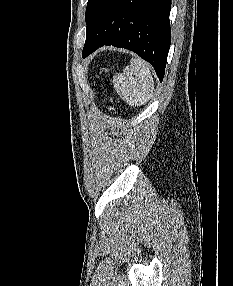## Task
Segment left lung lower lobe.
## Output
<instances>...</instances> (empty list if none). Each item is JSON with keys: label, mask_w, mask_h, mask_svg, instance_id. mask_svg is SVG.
I'll return each instance as SVG.
<instances>
[{"label": "left lung lower lobe", "mask_w": 233, "mask_h": 286, "mask_svg": "<svg viewBox=\"0 0 233 286\" xmlns=\"http://www.w3.org/2000/svg\"><path fill=\"white\" fill-rule=\"evenodd\" d=\"M171 0H94L86 19L85 58L103 45L126 48L163 80L171 43Z\"/></svg>", "instance_id": "obj_1"}]
</instances>
